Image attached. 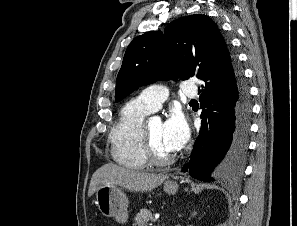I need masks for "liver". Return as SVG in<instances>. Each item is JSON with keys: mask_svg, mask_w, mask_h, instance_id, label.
<instances>
[{"mask_svg": "<svg viewBox=\"0 0 297 226\" xmlns=\"http://www.w3.org/2000/svg\"><path fill=\"white\" fill-rule=\"evenodd\" d=\"M167 178V175L145 173L108 163L97 169L92 175L88 197H91L104 185H119L134 192L151 191Z\"/></svg>", "mask_w": 297, "mask_h": 226, "instance_id": "6515ba94", "label": "liver"}]
</instances>
